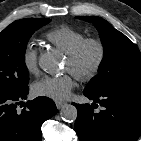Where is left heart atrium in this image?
Segmentation results:
<instances>
[{"mask_svg":"<svg viewBox=\"0 0 141 141\" xmlns=\"http://www.w3.org/2000/svg\"><path fill=\"white\" fill-rule=\"evenodd\" d=\"M74 85V78L70 74L44 76L33 84L32 91L35 95L59 101L69 97Z\"/></svg>","mask_w":141,"mask_h":141,"instance_id":"left-heart-atrium-1","label":"left heart atrium"}]
</instances>
